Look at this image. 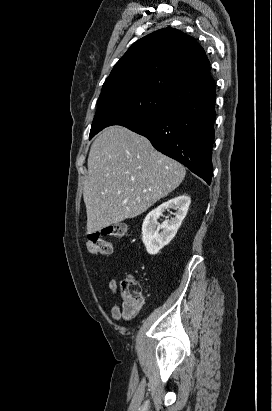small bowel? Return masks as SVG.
I'll use <instances>...</instances> for the list:
<instances>
[{
  "instance_id": "small-bowel-1",
  "label": "small bowel",
  "mask_w": 272,
  "mask_h": 411,
  "mask_svg": "<svg viewBox=\"0 0 272 411\" xmlns=\"http://www.w3.org/2000/svg\"><path fill=\"white\" fill-rule=\"evenodd\" d=\"M108 287L110 292L115 295L118 290V281L116 278H112L109 283ZM111 316L114 321H119L122 317V310L118 304H114L111 308Z\"/></svg>"
}]
</instances>
